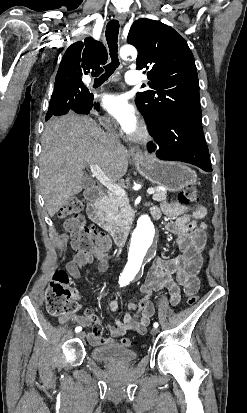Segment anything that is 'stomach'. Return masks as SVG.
<instances>
[{"label":"stomach","mask_w":247,"mask_h":413,"mask_svg":"<svg viewBox=\"0 0 247 413\" xmlns=\"http://www.w3.org/2000/svg\"><path fill=\"white\" fill-rule=\"evenodd\" d=\"M138 170L142 176L161 184L167 190L176 192V190H183L188 188L190 184H195L197 174L195 170L185 166L183 162H176V160H158L155 156H132Z\"/></svg>","instance_id":"obj_1"}]
</instances>
